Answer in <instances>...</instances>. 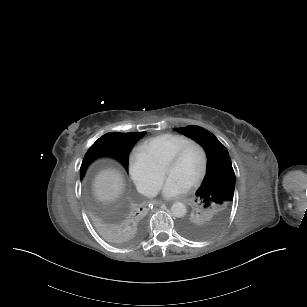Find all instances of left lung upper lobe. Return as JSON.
I'll return each instance as SVG.
<instances>
[{"label": "left lung upper lobe", "mask_w": 307, "mask_h": 307, "mask_svg": "<svg viewBox=\"0 0 307 307\" xmlns=\"http://www.w3.org/2000/svg\"><path fill=\"white\" fill-rule=\"evenodd\" d=\"M176 130L198 142L208 157L205 178L195 193L194 211L180 224L185 236L206 239L216 234L228 217L233 202L235 173L227 149L212 133L199 126Z\"/></svg>", "instance_id": "left-lung-upper-lobe-1"}]
</instances>
